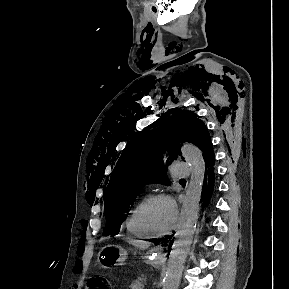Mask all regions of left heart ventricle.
<instances>
[{
	"label": "left heart ventricle",
	"instance_id": "left-heart-ventricle-1",
	"mask_svg": "<svg viewBox=\"0 0 289 289\" xmlns=\"http://www.w3.org/2000/svg\"><path fill=\"white\" fill-rule=\"evenodd\" d=\"M173 219V207L167 200H157L153 202L144 215L146 225L157 232L168 229L172 224Z\"/></svg>",
	"mask_w": 289,
	"mask_h": 289
}]
</instances>
